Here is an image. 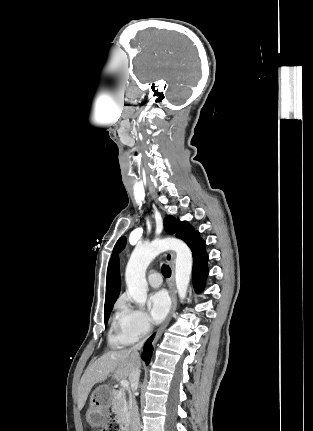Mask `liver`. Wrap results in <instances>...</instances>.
Masks as SVG:
<instances>
[{"instance_id": "obj_1", "label": "liver", "mask_w": 313, "mask_h": 431, "mask_svg": "<svg viewBox=\"0 0 313 431\" xmlns=\"http://www.w3.org/2000/svg\"><path fill=\"white\" fill-rule=\"evenodd\" d=\"M140 364V357L135 356L131 349L109 351L102 355L87 367L80 380L77 397L78 409L81 410L84 407L92 387L104 382L110 373H113L117 380H127L131 371L135 367H140Z\"/></svg>"}]
</instances>
